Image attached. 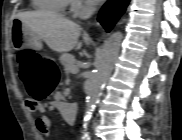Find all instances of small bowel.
<instances>
[{"label":"small bowel","mask_w":182,"mask_h":140,"mask_svg":"<svg viewBox=\"0 0 182 140\" xmlns=\"http://www.w3.org/2000/svg\"><path fill=\"white\" fill-rule=\"evenodd\" d=\"M26 108L30 113L40 114L35 121L36 128L44 136L50 137L52 134V124L50 118L46 115V107L41 102H34L28 99L26 101Z\"/></svg>","instance_id":"obj_1"}]
</instances>
